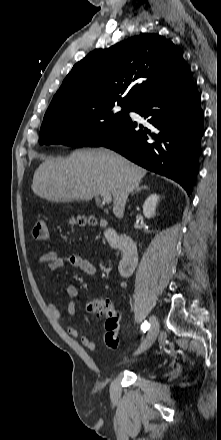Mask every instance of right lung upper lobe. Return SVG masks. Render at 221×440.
<instances>
[{"instance_id": "1", "label": "right lung upper lobe", "mask_w": 221, "mask_h": 440, "mask_svg": "<svg viewBox=\"0 0 221 440\" xmlns=\"http://www.w3.org/2000/svg\"><path fill=\"white\" fill-rule=\"evenodd\" d=\"M188 67L168 39L149 33L106 49H96L76 63L47 111L72 105L121 103L135 106L189 81ZM128 92L124 97L122 95Z\"/></svg>"}]
</instances>
